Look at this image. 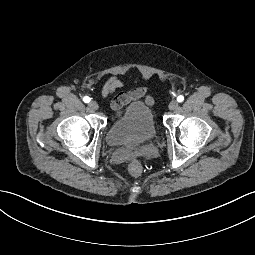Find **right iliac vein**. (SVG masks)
Returning a JSON list of instances; mask_svg holds the SVG:
<instances>
[{
  "instance_id": "1",
  "label": "right iliac vein",
  "mask_w": 255,
  "mask_h": 255,
  "mask_svg": "<svg viewBox=\"0 0 255 255\" xmlns=\"http://www.w3.org/2000/svg\"><path fill=\"white\" fill-rule=\"evenodd\" d=\"M88 106L90 107V109L92 110H97L99 108L98 103L96 101H91Z\"/></svg>"
}]
</instances>
